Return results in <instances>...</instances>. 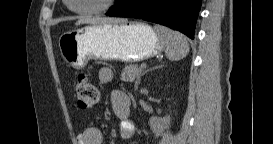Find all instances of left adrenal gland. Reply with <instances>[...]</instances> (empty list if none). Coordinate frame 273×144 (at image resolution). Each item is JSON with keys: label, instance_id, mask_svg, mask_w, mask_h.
<instances>
[{"label": "left adrenal gland", "instance_id": "left-adrenal-gland-1", "mask_svg": "<svg viewBox=\"0 0 273 144\" xmlns=\"http://www.w3.org/2000/svg\"><path fill=\"white\" fill-rule=\"evenodd\" d=\"M160 67H162V65H159V66H156V67H153V68H151V69H148V70H146L145 72H143V74H142V76L147 72V71H151V70H153V69H157V68H160ZM140 84V77L136 80V82H135V90H137L138 89V85Z\"/></svg>", "mask_w": 273, "mask_h": 144}]
</instances>
